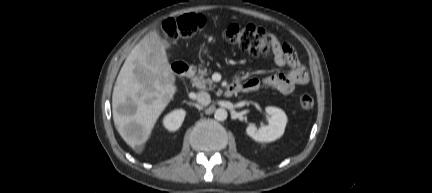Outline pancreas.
I'll list each match as a JSON object with an SVG mask.
<instances>
[{
    "instance_id": "cf45deb5",
    "label": "pancreas",
    "mask_w": 432,
    "mask_h": 193,
    "mask_svg": "<svg viewBox=\"0 0 432 193\" xmlns=\"http://www.w3.org/2000/svg\"><path fill=\"white\" fill-rule=\"evenodd\" d=\"M207 74V69H199L198 75L192 78L193 85L199 89L213 90L215 88L213 81L210 78H204Z\"/></svg>"
}]
</instances>
